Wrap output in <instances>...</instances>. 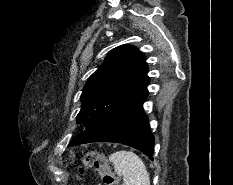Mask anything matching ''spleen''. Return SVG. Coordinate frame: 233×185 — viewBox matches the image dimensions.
<instances>
[{
  "mask_svg": "<svg viewBox=\"0 0 233 185\" xmlns=\"http://www.w3.org/2000/svg\"><path fill=\"white\" fill-rule=\"evenodd\" d=\"M114 170L123 176L125 185H150L149 173L144 162L133 152L121 150L109 156Z\"/></svg>",
  "mask_w": 233,
  "mask_h": 185,
  "instance_id": "spleen-1",
  "label": "spleen"
}]
</instances>
